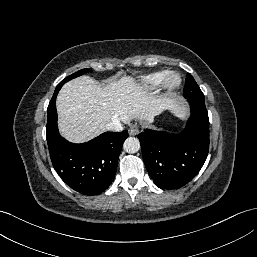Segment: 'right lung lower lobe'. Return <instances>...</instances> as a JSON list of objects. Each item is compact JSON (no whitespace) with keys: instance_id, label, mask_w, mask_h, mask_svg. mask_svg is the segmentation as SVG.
Instances as JSON below:
<instances>
[{"instance_id":"right-lung-lower-lobe-1","label":"right lung lower lobe","mask_w":257,"mask_h":257,"mask_svg":"<svg viewBox=\"0 0 257 257\" xmlns=\"http://www.w3.org/2000/svg\"><path fill=\"white\" fill-rule=\"evenodd\" d=\"M60 90V89H59ZM55 90L47 108L46 137L54 169L62 180L84 195H97L113 182L128 131L105 132L89 142L73 144L57 128Z\"/></svg>"}]
</instances>
